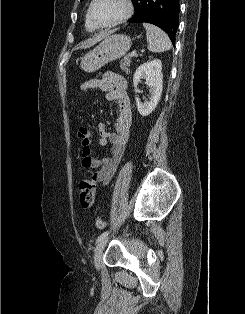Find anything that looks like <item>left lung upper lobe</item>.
Instances as JSON below:
<instances>
[{"label": "left lung upper lobe", "mask_w": 245, "mask_h": 314, "mask_svg": "<svg viewBox=\"0 0 245 314\" xmlns=\"http://www.w3.org/2000/svg\"><path fill=\"white\" fill-rule=\"evenodd\" d=\"M83 1V0H81ZM133 5H134V9H135V14L140 10V1L141 0H131Z\"/></svg>", "instance_id": "obj_1"}]
</instances>
